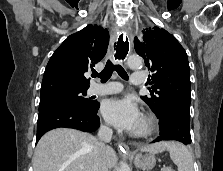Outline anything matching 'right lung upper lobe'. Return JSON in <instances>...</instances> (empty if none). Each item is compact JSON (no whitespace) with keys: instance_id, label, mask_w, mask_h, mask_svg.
<instances>
[{"instance_id":"right-lung-upper-lobe-1","label":"right lung upper lobe","mask_w":223,"mask_h":171,"mask_svg":"<svg viewBox=\"0 0 223 171\" xmlns=\"http://www.w3.org/2000/svg\"><path fill=\"white\" fill-rule=\"evenodd\" d=\"M109 33L101 26L88 25L70 35L53 53L45 69L40 98L89 88L84 73L93 69L106 54Z\"/></svg>"}]
</instances>
